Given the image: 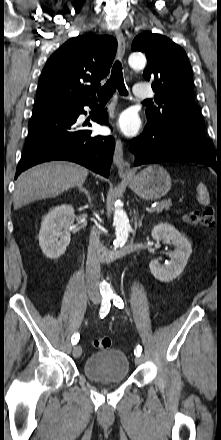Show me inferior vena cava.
<instances>
[{
	"label": "inferior vena cava",
	"instance_id": "inferior-vena-cava-1",
	"mask_svg": "<svg viewBox=\"0 0 221 440\" xmlns=\"http://www.w3.org/2000/svg\"><path fill=\"white\" fill-rule=\"evenodd\" d=\"M100 232L93 227L90 234L87 263H86V279L89 291L95 296H99V280H100V250L102 244L100 242Z\"/></svg>",
	"mask_w": 221,
	"mask_h": 440
}]
</instances>
